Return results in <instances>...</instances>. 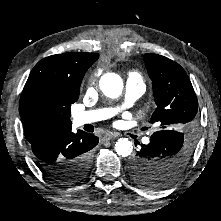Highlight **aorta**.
<instances>
[{
    "mask_svg": "<svg viewBox=\"0 0 221 221\" xmlns=\"http://www.w3.org/2000/svg\"><path fill=\"white\" fill-rule=\"evenodd\" d=\"M101 91L110 98H117L123 90V82L119 75L115 73L104 74L99 82ZM133 144L127 138H120L116 141L115 151L119 156L127 157L132 153Z\"/></svg>",
    "mask_w": 221,
    "mask_h": 221,
    "instance_id": "obj_1",
    "label": "aorta"
}]
</instances>
